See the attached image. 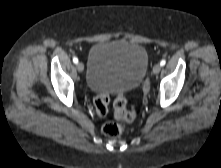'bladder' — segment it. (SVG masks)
Returning <instances> with one entry per match:
<instances>
[{
	"label": "bladder",
	"instance_id": "obj_1",
	"mask_svg": "<svg viewBox=\"0 0 221 168\" xmlns=\"http://www.w3.org/2000/svg\"><path fill=\"white\" fill-rule=\"evenodd\" d=\"M149 58L146 49L128 41L95 44L89 52L87 85L96 92H127L143 81Z\"/></svg>",
	"mask_w": 221,
	"mask_h": 168
}]
</instances>
